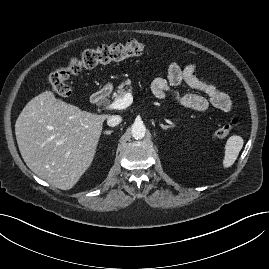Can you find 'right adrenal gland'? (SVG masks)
<instances>
[{"label":"right adrenal gland","mask_w":269,"mask_h":269,"mask_svg":"<svg viewBox=\"0 0 269 269\" xmlns=\"http://www.w3.org/2000/svg\"><path fill=\"white\" fill-rule=\"evenodd\" d=\"M112 133H113V130H108L104 132L105 135H111Z\"/></svg>","instance_id":"right-adrenal-gland-1"}]
</instances>
